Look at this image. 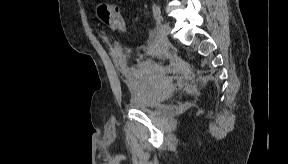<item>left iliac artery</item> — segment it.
Listing matches in <instances>:
<instances>
[{
  "mask_svg": "<svg viewBox=\"0 0 288 164\" xmlns=\"http://www.w3.org/2000/svg\"><path fill=\"white\" fill-rule=\"evenodd\" d=\"M153 16L156 21V29L161 25V12L158 6L154 5L153 6Z\"/></svg>",
  "mask_w": 288,
  "mask_h": 164,
  "instance_id": "44dca946",
  "label": "left iliac artery"
}]
</instances>
